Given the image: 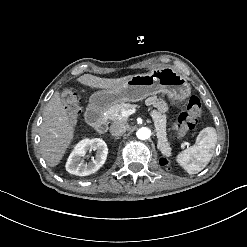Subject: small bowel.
<instances>
[{
    "instance_id": "1",
    "label": "small bowel",
    "mask_w": 247,
    "mask_h": 247,
    "mask_svg": "<svg viewBox=\"0 0 247 247\" xmlns=\"http://www.w3.org/2000/svg\"><path fill=\"white\" fill-rule=\"evenodd\" d=\"M147 104L156 108L159 112H165L167 109L166 102L160 97H151L147 100Z\"/></svg>"
}]
</instances>
